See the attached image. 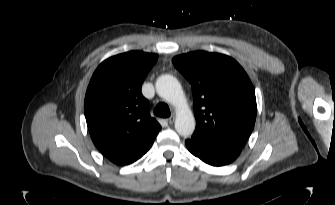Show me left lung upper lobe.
<instances>
[{"label":"left lung upper lobe","instance_id":"5c2ea615","mask_svg":"<svg viewBox=\"0 0 335 205\" xmlns=\"http://www.w3.org/2000/svg\"><path fill=\"white\" fill-rule=\"evenodd\" d=\"M174 66L192 86L194 137L242 149L256 119V97L244 69L231 57L205 51L176 56Z\"/></svg>","mask_w":335,"mask_h":205}]
</instances>
